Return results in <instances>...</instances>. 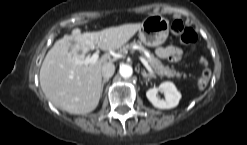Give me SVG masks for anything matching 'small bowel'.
Masks as SVG:
<instances>
[{
  "label": "small bowel",
  "instance_id": "small-bowel-1",
  "mask_svg": "<svg viewBox=\"0 0 247 145\" xmlns=\"http://www.w3.org/2000/svg\"><path fill=\"white\" fill-rule=\"evenodd\" d=\"M156 53L159 57L166 58L172 62L180 60L183 55L182 49L176 46L160 47Z\"/></svg>",
  "mask_w": 247,
  "mask_h": 145
}]
</instances>
